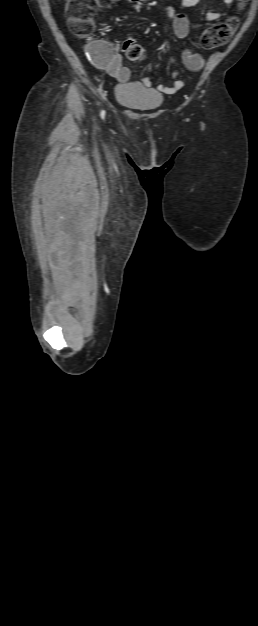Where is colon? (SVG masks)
Here are the masks:
<instances>
[{
    "instance_id": "colon-1",
    "label": "colon",
    "mask_w": 258,
    "mask_h": 626,
    "mask_svg": "<svg viewBox=\"0 0 258 626\" xmlns=\"http://www.w3.org/2000/svg\"><path fill=\"white\" fill-rule=\"evenodd\" d=\"M117 0H65L67 23L71 31L79 36H88L93 29L94 9L98 6L105 7ZM248 0H239V8H242ZM238 19L231 17L225 22L206 29L200 37V45L210 49L226 44L233 36L238 27ZM123 49L131 61H141L146 56L145 48L133 39H127L123 43ZM96 56V53L94 52Z\"/></svg>"
}]
</instances>
